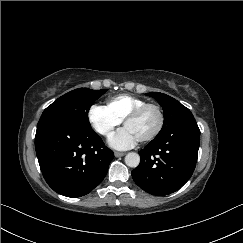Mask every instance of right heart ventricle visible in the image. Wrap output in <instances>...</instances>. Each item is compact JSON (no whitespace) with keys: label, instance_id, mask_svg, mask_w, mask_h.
Returning <instances> with one entry per match:
<instances>
[{"label":"right heart ventricle","instance_id":"e07e8e85","mask_svg":"<svg viewBox=\"0 0 243 243\" xmlns=\"http://www.w3.org/2000/svg\"><path fill=\"white\" fill-rule=\"evenodd\" d=\"M146 103L147 102L141 98L128 94H121L109 99L107 107L122 121L131 111Z\"/></svg>","mask_w":243,"mask_h":243}]
</instances>
